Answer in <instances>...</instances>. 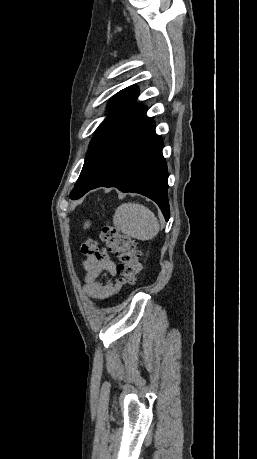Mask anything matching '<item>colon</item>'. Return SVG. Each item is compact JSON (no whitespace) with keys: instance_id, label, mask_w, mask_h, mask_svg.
Wrapping results in <instances>:
<instances>
[{"instance_id":"1","label":"colon","mask_w":257,"mask_h":459,"mask_svg":"<svg viewBox=\"0 0 257 459\" xmlns=\"http://www.w3.org/2000/svg\"><path fill=\"white\" fill-rule=\"evenodd\" d=\"M101 239L109 250L119 258L117 274L122 284L136 283L140 270V250L138 243L125 234L120 233L115 226L106 223L101 229Z\"/></svg>"}]
</instances>
